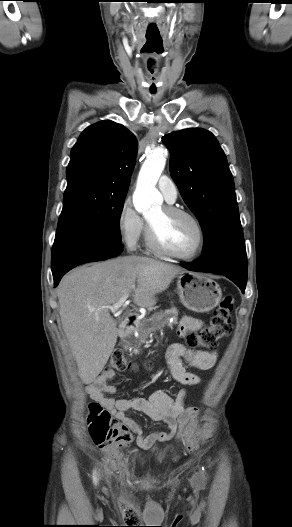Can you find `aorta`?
<instances>
[{
	"label": "aorta",
	"mask_w": 292,
	"mask_h": 527,
	"mask_svg": "<svg viewBox=\"0 0 292 527\" xmlns=\"http://www.w3.org/2000/svg\"><path fill=\"white\" fill-rule=\"evenodd\" d=\"M166 158L167 151L163 147H156L144 161L133 194V204L137 212L148 214L162 202L156 184L165 168Z\"/></svg>",
	"instance_id": "obj_1"
}]
</instances>
